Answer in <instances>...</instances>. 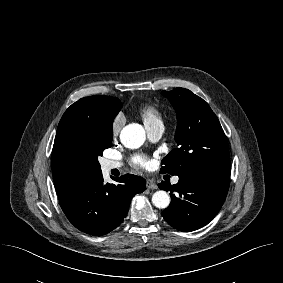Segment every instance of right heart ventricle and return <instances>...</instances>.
<instances>
[{"instance_id":"e07e8e85","label":"right heart ventricle","mask_w":283,"mask_h":283,"mask_svg":"<svg viewBox=\"0 0 283 283\" xmlns=\"http://www.w3.org/2000/svg\"><path fill=\"white\" fill-rule=\"evenodd\" d=\"M139 115L142 118L145 127H150L154 125L161 124L162 122V112L160 108L153 104L143 105L139 109Z\"/></svg>"}]
</instances>
